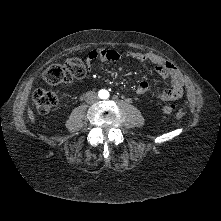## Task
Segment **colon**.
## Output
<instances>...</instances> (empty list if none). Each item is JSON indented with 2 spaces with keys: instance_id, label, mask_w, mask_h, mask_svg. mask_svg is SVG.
Wrapping results in <instances>:
<instances>
[{
  "instance_id": "5ec220e1",
  "label": "colon",
  "mask_w": 221,
  "mask_h": 221,
  "mask_svg": "<svg viewBox=\"0 0 221 221\" xmlns=\"http://www.w3.org/2000/svg\"><path fill=\"white\" fill-rule=\"evenodd\" d=\"M87 69V65L81 59L70 58L63 64L49 66L43 72V80L51 86L69 83L73 80L83 78ZM32 98L37 110L42 114L49 112L57 103L56 94L53 91L45 89H37L33 93ZM174 109V104H168L162 108V112L165 115H169L173 113Z\"/></svg>"
}]
</instances>
